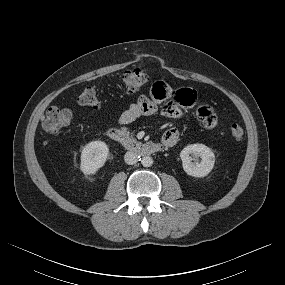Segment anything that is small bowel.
Segmentation results:
<instances>
[{
	"label": "small bowel",
	"instance_id": "small-bowel-1",
	"mask_svg": "<svg viewBox=\"0 0 285 285\" xmlns=\"http://www.w3.org/2000/svg\"><path fill=\"white\" fill-rule=\"evenodd\" d=\"M148 95H140L135 102L131 103L117 119L120 126L128 125L141 116L154 114L157 109L171 118H181L183 107H192L197 104V92L193 88H182L180 90L171 87L161 81H154L148 87ZM197 117L201 125L212 129L217 125L218 118L212 106L199 104L197 106ZM179 138V130L171 128L162 136V143L166 147L176 144Z\"/></svg>",
	"mask_w": 285,
	"mask_h": 285
}]
</instances>
